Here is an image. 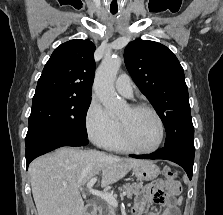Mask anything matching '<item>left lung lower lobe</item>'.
I'll use <instances>...</instances> for the list:
<instances>
[{
  "label": "left lung lower lobe",
  "instance_id": "left-lung-lower-lobe-1",
  "mask_svg": "<svg viewBox=\"0 0 223 215\" xmlns=\"http://www.w3.org/2000/svg\"><path fill=\"white\" fill-rule=\"evenodd\" d=\"M194 154V145L175 144L165 146L152 154L130 156L138 159H165L175 162L186 171L191 180L193 175Z\"/></svg>",
  "mask_w": 223,
  "mask_h": 215
}]
</instances>
